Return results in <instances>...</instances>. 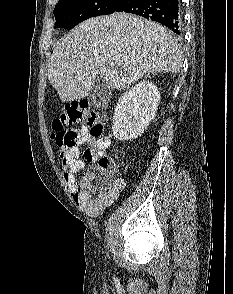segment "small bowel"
<instances>
[{
	"label": "small bowel",
	"mask_w": 233,
	"mask_h": 294,
	"mask_svg": "<svg viewBox=\"0 0 233 294\" xmlns=\"http://www.w3.org/2000/svg\"><path fill=\"white\" fill-rule=\"evenodd\" d=\"M75 134L73 147L68 151L66 157L62 159L61 166L65 182L74 189L76 203L90 216H98L107 206L116 200L125 187L123 179L112 180L111 185L98 195L84 194L79 191V185L76 184V174L85 167V162L80 158L81 147L88 144L89 148L84 152L85 161L93 163L103 155L110 147L109 137H94L87 127H79L72 130Z\"/></svg>",
	"instance_id": "1"
}]
</instances>
